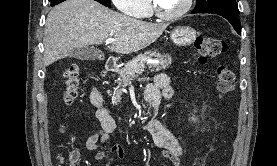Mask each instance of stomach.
Wrapping results in <instances>:
<instances>
[{
  "label": "stomach",
  "mask_w": 277,
  "mask_h": 166,
  "mask_svg": "<svg viewBox=\"0 0 277 166\" xmlns=\"http://www.w3.org/2000/svg\"><path fill=\"white\" fill-rule=\"evenodd\" d=\"M171 41L177 46H189L196 37L197 32L190 26H178L171 32Z\"/></svg>",
  "instance_id": "1"
}]
</instances>
